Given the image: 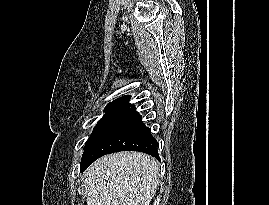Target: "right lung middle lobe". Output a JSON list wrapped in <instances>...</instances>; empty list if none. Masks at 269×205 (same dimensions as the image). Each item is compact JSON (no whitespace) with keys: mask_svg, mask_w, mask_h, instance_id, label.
I'll return each instance as SVG.
<instances>
[{"mask_svg":"<svg viewBox=\"0 0 269 205\" xmlns=\"http://www.w3.org/2000/svg\"><path fill=\"white\" fill-rule=\"evenodd\" d=\"M125 110L126 109L122 107H106V114L99 120V122L95 126L92 135L85 144L84 149L107 124H109L115 117L120 115Z\"/></svg>","mask_w":269,"mask_h":205,"instance_id":"right-lung-middle-lobe-1","label":"right lung middle lobe"}]
</instances>
